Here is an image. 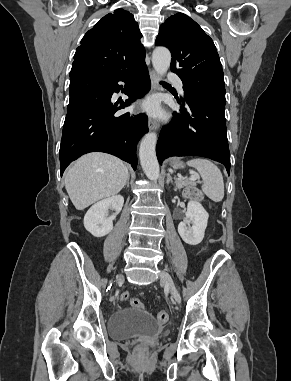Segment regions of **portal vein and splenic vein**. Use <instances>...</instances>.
Returning <instances> with one entry per match:
<instances>
[{
    "label": "portal vein and splenic vein",
    "mask_w": 291,
    "mask_h": 381,
    "mask_svg": "<svg viewBox=\"0 0 291 381\" xmlns=\"http://www.w3.org/2000/svg\"><path fill=\"white\" fill-rule=\"evenodd\" d=\"M178 177H179V178H183L182 175H180V174H178ZM189 179H190L191 181L197 180V179H199V175H197V174L192 175Z\"/></svg>",
    "instance_id": "18ae733b"
}]
</instances>
